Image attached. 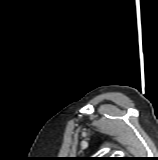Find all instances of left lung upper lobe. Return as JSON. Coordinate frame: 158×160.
Here are the masks:
<instances>
[{
  "instance_id": "obj_1",
  "label": "left lung upper lobe",
  "mask_w": 158,
  "mask_h": 160,
  "mask_svg": "<svg viewBox=\"0 0 158 160\" xmlns=\"http://www.w3.org/2000/svg\"><path fill=\"white\" fill-rule=\"evenodd\" d=\"M100 160H113V159H110V158H104V159H100Z\"/></svg>"
}]
</instances>
